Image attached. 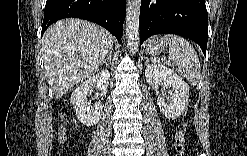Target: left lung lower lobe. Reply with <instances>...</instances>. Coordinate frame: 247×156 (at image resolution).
Segmentation results:
<instances>
[{"label":"left lung lower lobe","mask_w":247,"mask_h":156,"mask_svg":"<svg viewBox=\"0 0 247 156\" xmlns=\"http://www.w3.org/2000/svg\"><path fill=\"white\" fill-rule=\"evenodd\" d=\"M140 42L156 34L185 36L207 48L208 17L205 0H142Z\"/></svg>","instance_id":"left-lung-lower-lobe-1"}]
</instances>
